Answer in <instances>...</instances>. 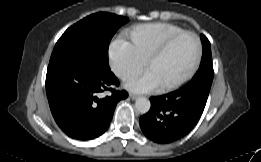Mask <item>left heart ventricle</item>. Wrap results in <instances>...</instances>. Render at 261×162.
Segmentation results:
<instances>
[{
  "mask_svg": "<svg viewBox=\"0 0 261 162\" xmlns=\"http://www.w3.org/2000/svg\"><path fill=\"white\" fill-rule=\"evenodd\" d=\"M197 52L193 36L178 39L161 57L150 63L148 69L154 73L161 86L173 83L191 68Z\"/></svg>",
  "mask_w": 261,
  "mask_h": 162,
  "instance_id": "1",
  "label": "left heart ventricle"
}]
</instances>
